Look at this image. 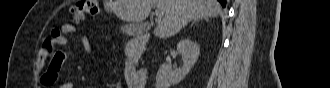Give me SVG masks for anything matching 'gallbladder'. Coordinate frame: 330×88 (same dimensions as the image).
Here are the masks:
<instances>
[{
	"instance_id": "bac80fb5",
	"label": "gallbladder",
	"mask_w": 330,
	"mask_h": 88,
	"mask_svg": "<svg viewBox=\"0 0 330 88\" xmlns=\"http://www.w3.org/2000/svg\"><path fill=\"white\" fill-rule=\"evenodd\" d=\"M121 30L127 35H133L135 32H137V27H135V26H124V27L121 28Z\"/></svg>"
}]
</instances>
